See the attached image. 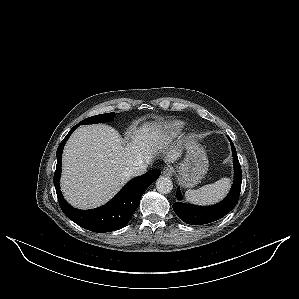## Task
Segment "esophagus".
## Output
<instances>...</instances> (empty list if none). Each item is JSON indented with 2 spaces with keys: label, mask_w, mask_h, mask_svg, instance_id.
I'll return each mask as SVG.
<instances>
[{
  "label": "esophagus",
  "mask_w": 299,
  "mask_h": 299,
  "mask_svg": "<svg viewBox=\"0 0 299 299\" xmlns=\"http://www.w3.org/2000/svg\"><path fill=\"white\" fill-rule=\"evenodd\" d=\"M173 172L174 170L171 166H165L162 171L163 175L166 177H171L173 175Z\"/></svg>",
  "instance_id": "obj_1"
}]
</instances>
